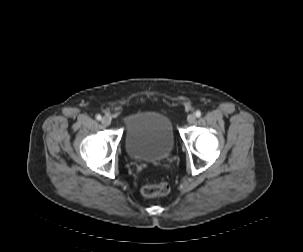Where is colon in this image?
Here are the masks:
<instances>
[{
  "mask_svg": "<svg viewBox=\"0 0 303 252\" xmlns=\"http://www.w3.org/2000/svg\"><path fill=\"white\" fill-rule=\"evenodd\" d=\"M169 191L170 186L165 181L156 184H149L143 188V194L147 197H162L167 195Z\"/></svg>",
  "mask_w": 303,
  "mask_h": 252,
  "instance_id": "1",
  "label": "colon"
}]
</instances>
